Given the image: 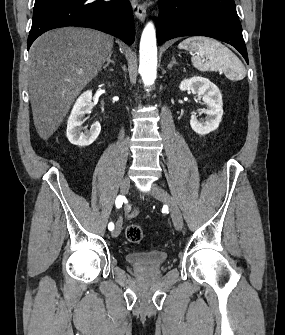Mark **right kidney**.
I'll list each match as a JSON object with an SVG mask.
<instances>
[{
  "label": "right kidney",
  "instance_id": "1",
  "mask_svg": "<svg viewBox=\"0 0 285 335\" xmlns=\"http://www.w3.org/2000/svg\"><path fill=\"white\" fill-rule=\"evenodd\" d=\"M91 100V90L83 92V94L79 96L78 100H76L67 122V138L71 144L79 146V148H85V146L93 144L101 132L99 122H94L89 132H85V134H83L80 130V126H82L83 122L88 120V118H85L84 120V114H89L88 108L89 106H92Z\"/></svg>",
  "mask_w": 285,
  "mask_h": 335
}]
</instances>
